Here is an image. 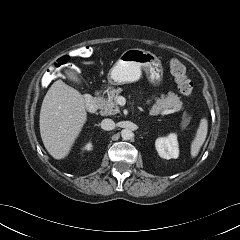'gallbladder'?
Returning a JSON list of instances; mask_svg holds the SVG:
<instances>
[{
    "instance_id": "obj_1",
    "label": "gallbladder",
    "mask_w": 240,
    "mask_h": 240,
    "mask_svg": "<svg viewBox=\"0 0 240 240\" xmlns=\"http://www.w3.org/2000/svg\"><path fill=\"white\" fill-rule=\"evenodd\" d=\"M65 75L70 81L77 83V84L81 83V78L79 76V72H78L77 68L69 67L68 69L65 70Z\"/></svg>"
}]
</instances>
